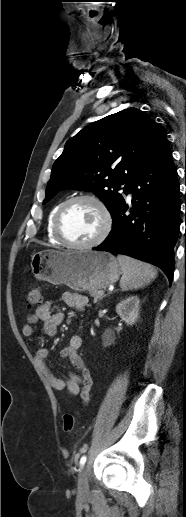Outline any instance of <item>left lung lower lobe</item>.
<instances>
[{
	"label": "left lung lower lobe",
	"instance_id": "obj_1",
	"mask_svg": "<svg viewBox=\"0 0 186 517\" xmlns=\"http://www.w3.org/2000/svg\"><path fill=\"white\" fill-rule=\"evenodd\" d=\"M133 195L130 215L125 203L114 213L112 230L99 251H113L158 266L171 284L174 246L180 227L177 170L166 138L151 158L129 181Z\"/></svg>",
	"mask_w": 186,
	"mask_h": 517
}]
</instances>
